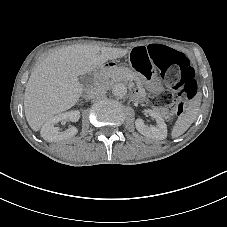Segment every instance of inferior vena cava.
Here are the masks:
<instances>
[{
    "mask_svg": "<svg viewBox=\"0 0 227 227\" xmlns=\"http://www.w3.org/2000/svg\"><path fill=\"white\" fill-rule=\"evenodd\" d=\"M90 93H91V97L99 98L106 93V90L102 86L97 85L96 87L90 90Z\"/></svg>",
    "mask_w": 227,
    "mask_h": 227,
    "instance_id": "obj_1",
    "label": "inferior vena cava"
}]
</instances>
